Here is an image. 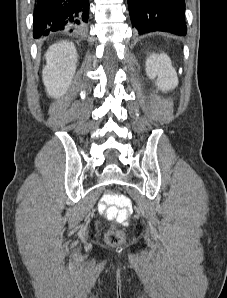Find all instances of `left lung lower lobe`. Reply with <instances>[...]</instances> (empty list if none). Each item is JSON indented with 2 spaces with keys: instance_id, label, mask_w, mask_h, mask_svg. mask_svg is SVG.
Masks as SVG:
<instances>
[{
  "instance_id": "left-lung-lower-lobe-1",
  "label": "left lung lower lobe",
  "mask_w": 227,
  "mask_h": 298,
  "mask_svg": "<svg viewBox=\"0 0 227 298\" xmlns=\"http://www.w3.org/2000/svg\"><path fill=\"white\" fill-rule=\"evenodd\" d=\"M132 27L139 34L165 31L185 36L184 0H128Z\"/></svg>"
}]
</instances>
